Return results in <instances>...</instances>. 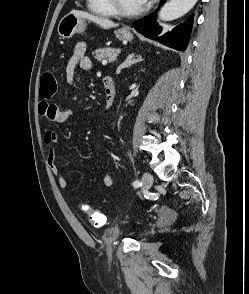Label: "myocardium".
<instances>
[{"label":"myocardium","instance_id":"myocardium-1","mask_svg":"<svg viewBox=\"0 0 249 294\" xmlns=\"http://www.w3.org/2000/svg\"><path fill=\"white\" fill-rule=\"evenodd\" d=\"M107 2L116 15L123 17L136 16L144 11L143 6L135 10H126L120 5L119 0H107Z\"/></svg>","mask_w":249,"mask_h":294}]
</instances>
